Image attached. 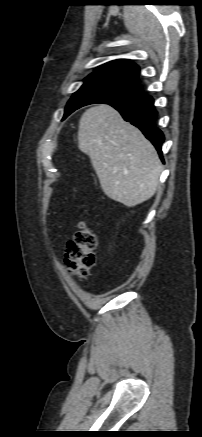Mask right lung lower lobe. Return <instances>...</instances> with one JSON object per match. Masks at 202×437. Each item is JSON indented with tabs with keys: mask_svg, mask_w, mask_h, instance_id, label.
<instances>
[{
	"mask_svg": "<svg viewBox=\"0 0 202 437\" xmlns=\"http://www.w3.org/2000/svg\"><path fill=\"white\" fill-rule=\"evenodd\" d=\"M117 109L123 118L137 126L143 134L149 139L157 149L160 158L163 160L161 144L164 141V135L155 126L157 111L154 107V100L149 95H141L134 99L120 100L108 103Z\"/></svg>",
	"mask_w": 202,
	"mask_h": 437,
	"instance_id": "98d812e1",
	"label": "right lung lower lobe"
}]
</instances>
